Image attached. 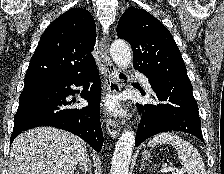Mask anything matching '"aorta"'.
Masks as SVG:
<instances>
[{
	"instance_id": "aorta-1",
	"label": "aorta",
	"mask_w": 224,
	"mask_h": 174,
	"mask_svg": "<svg viewBox=\"0 0 224 174\" xmlns=\"http://www.w3.org/2000/svg\"><path fill=\"white\" fill-rule=\"evenodd\" d=\"M110 54L115 64L121 69H127L132 62L131 48L124 40L114 41ZM134 145V132L125 130L115 145L110 174H128Z\"/></svg>"
}]
</instances>
